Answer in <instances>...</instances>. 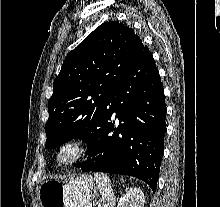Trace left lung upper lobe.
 I'll return each instance as SVG.
<instances>
[{
    "instance_id": "obj_1",
    "label": "left lung upper lobe",
    "mask_w": 220,
    "mask_h": 207,
    "mask_svg": "<svg viewBox=\"0 0 220 207\" xmlns=\"http://www.w3.org/2000/svg\"><path fill=\"white\" fill-rule=\"evenodd\" d=\"M142 40L120 22L101 24L65 58L53 83L45 148L88 141Z\"/></svg>"
}]
</instances>
